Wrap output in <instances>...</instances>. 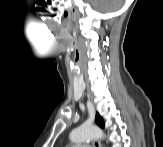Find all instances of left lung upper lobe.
Segmentation results:
<instances>
[{"mask_svg": "<svg viewBox=\"0 0 163 147\" xmlns=\"http://www.w3.org/2000/svg\"><path fill=\"white\" fill-rule=\"evenodd\" d=\"M96 123L100 126V127H104V121L102 119V117H100V115L97 113L96 115Z\"/></svg>", "mask_w": 163, "mask_h": 147, "instance_id": "left-lung-upper-lobe-1", "label": "left lung upper lobe"}]
</instances>
